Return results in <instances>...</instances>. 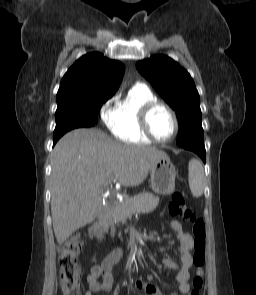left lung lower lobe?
<instances>
[{
    "label": "left lung lower lobe",
    "mask_w": 256,
    "mask_h": 295,
    "mask_svg": "<svg viewBox=\"0 0 256 295\" xmlns=\"http://www.w3.org/2000/svg\"><path fill=\"white\" fill-rule=\"evenodd\" d=\"M181 148L187 149V150H191L193 152H195L197 155L200 156V158L203 160V162H205V146L204 143H196V144H190V145H185Z\"/></svg>",
    "instance_id": "1"
}]
</instances>
